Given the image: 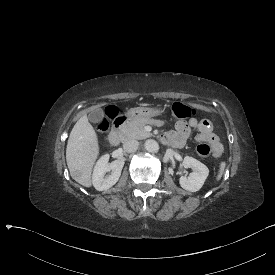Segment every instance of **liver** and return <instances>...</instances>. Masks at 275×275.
Instances as JSON below:
<instances>
[{"label": "liver", "mask_w": 275, "mask_h": 275, "mask_svg": "<svg viewBox=\"0 0 275 275\" xmlns=\"http://www.w3.org/2000/svg\"><path fill=\"white\" fill-rule=\"evenodd\" d=\"M139 106L153 105L138 103ZM100 155L99 136L88 121L87 115H82L74 124L66 147V163L70 174L77 169L82 177L77 182L86 188L92 187L93 168Z\"/></svg>", "instance_id": "liver-1"}]
</instances>
